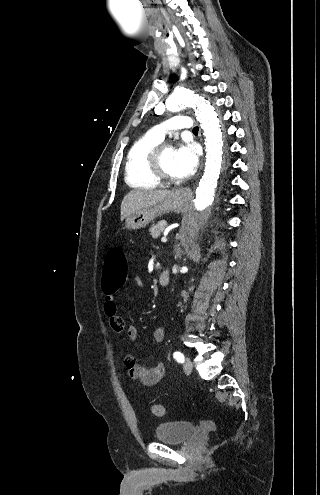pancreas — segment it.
I'll return each instance as SVG.
<instances>
[{
	"label": "pancreas",
	"instance_id": "cf45deb5",
	"mask_svg": "<svg viewBox=\"0 0 320 495\" xmlns=\"http://www.w3.org/2000/svg\"><path fill=\"white\" fill-rule=\"evenodd\" d=\"M166 227H167L166 221L165 220H161L157 224H153L149 228L150 235L154 239H157L165 231V228Z\"/></svg>",
	"mask_w": 320,
	"mask_h": 495
}]
</instances>
